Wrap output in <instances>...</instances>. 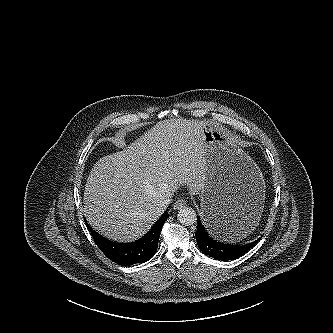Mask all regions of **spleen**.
<instances>
[{
    "instance_id": "obj_1",
    "label": "spleen",
    "mask_w": 333,
    "mask_h": 333,
    "mask_svg": "<svg viewBox=\"0 0 333 333\" xmlns=\"http://www.w3.org/2000/svg\"><path fill=\"white\" fill-rule=\"evenodd\" d=\"M260 220V219H259ZM253 212L245 215L243 219L232 222L221 231V237L226 241H236L246 237L247 234L258 224Z\"/></svg>"
}]
</instances>
